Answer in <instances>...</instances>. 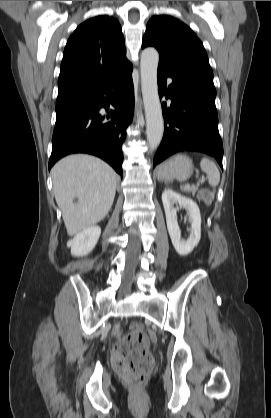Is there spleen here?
<instances>
[{
    "mask_svg": "<svg viewBox=\"0 0 271 418\" xmlns=\"http://www.w3.org/2000/svg\"><path fill=\"white\" fill-rule=\"evenodd\" d=\"M200 167L207 174L209 184L216 186L220 181V173L215 163L208 158H203Z\"/></svg>",
    "mask_w": 271,
    "mask_h": 418,
    "instance_id": "1",
    "label": "spleen"
}]
</instances>
